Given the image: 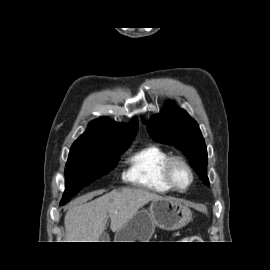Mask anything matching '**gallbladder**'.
Masks as SVG:
<instances>
[{
	"label": "gallbladder",
	"mask_w": 270,
	"mask_h": 270,
	"mask_svg": "<svg viewBox=\"0 0 270 270\" xmlns=\"http://www.w3.org/2000/svg\"><path fill=\"white\" fill-rule=\"evenodd\" d=\"M110 239L109 234L107 232H103L99 238L100 242H108Z\"/></svg>",
	"instance_id": "bac80fb5"
}]
</instances>
